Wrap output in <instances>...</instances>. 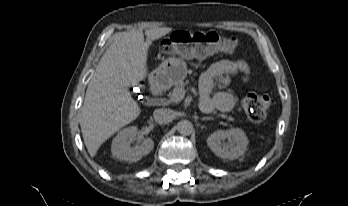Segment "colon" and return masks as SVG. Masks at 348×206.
Segmentation results:
<instances>
[{
    "label": "colon",
    "instance_id": "5ec220e1",
    "mask_svg": "<svg viewBox=\"0 0 348 206\" xmlns=\"http://www.w3.org/2000/svg\"><path fill=\"white\" fill-rule=\"evenodd\" d=\"M198 38H202L220 51L231 50L236 42L235 37L217 32L182 30L174 32L170 37L165 39L161 44V51L165 55L187 54L189 53V46ZM241 104L250 120L260 122L266 118L269 112L271 98L265 92H252L244 96Z\"/></svg>",
    "mask_w": 348,
    "mask_h": 206
}]
</instances>
